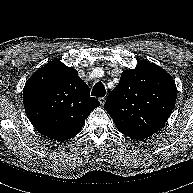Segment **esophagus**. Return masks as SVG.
<instances>
[{"label":"esophagus","mask_w":193,"mask_h":193,"mask_svg":"<svg viewBox=\"0 0 193 193\" xmlns=\"http://www.w3.org/2000/svg\"><path fill=\"white\" fill-rule=\"evenodd\" d=\"M98 100H99L101 105H104L105 102H106V98L105 97H99Z\"/></svg>","instance_id":"esophagus-1"}]
</instances>
